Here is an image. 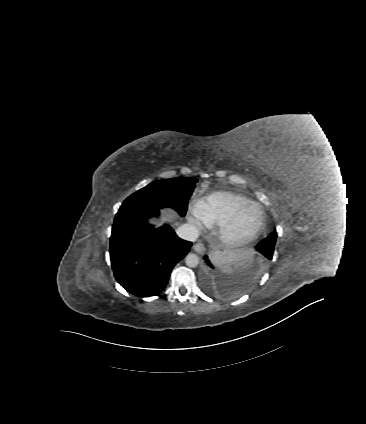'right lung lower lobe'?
Returning <instances> with one entry per match:
<instances>
[{
  "label": "right lung lower lobe",
  "mask_w": 366,
  "mask_h": 424,
  "mask_svg": "<svg viewBox=\"0 0 366 424\" xmlns=\"http://www.w3.org/2000/svg\"><path fill=\"white\" fill-rule=\"evenodd\" d=\"M159 210H131L117 214L110 238V258L116 280L140 297L159 294L172 268L192 243L177 237L170 227L155 228L147 219Z\"/></svg>",
  "instance_id": "obj_1"
}]
</instances>
